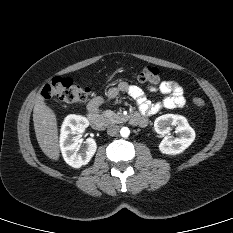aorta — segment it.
Instances as JSON below:
<instances>
[{"instance_id":"aorta-1","label":"aorta","mask_w":233,"mask_h":233,"mask_svg":"<svg viewBox=\"0 0 233 233\" xmlns=\"http://www.w3.org/2000/svg\"><path fill=\"white\" fill-rule=\"evenodd\" d=\"M129 134H130L129 128H127V127H122V128H121V130H120V135H121L122 137H128Z\"/></svg>"}]
</instances>
